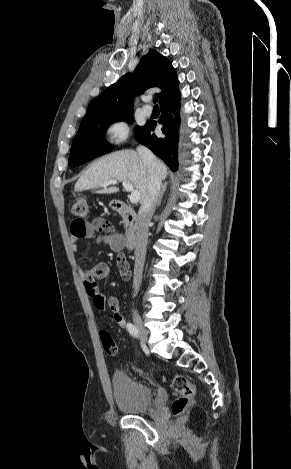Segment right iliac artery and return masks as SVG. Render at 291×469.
Returning a JSON list of instances; mask_svg holds the SVG:
<instances>
[{"instance_id":"1","label":"right iliac artery","mask_w":291,"mask_h":469,"mask_svg":"<svg viewBox=\"0 0 291 469\" xmlns=\"http://www.w3.org/2000/svg\"><path fill=\"white\" fill-rule=\"evenodd\" d=\"M127 330L133 337H138V330L132 323H127Z\"/></svg>"}]
</instances>
